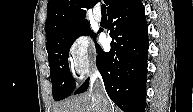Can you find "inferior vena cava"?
<instances>
[{"label": "inferior vena cava", "instance_id": "inferior-vena-cava-1", "mask_svg": "<svg viewBox=\"0 0 193 112\" xmlns=\"http://www.w3.org/2000/svg\"><path fill=\"white\" fill-rule=\"evenodd\" d=\"M90 93L100 107V112H110L104 84L97 70L91 76Z\"/></svg>", "mask_w": 193, "mask_h": 112}]
</instances>
